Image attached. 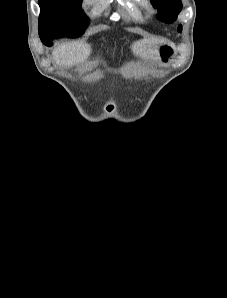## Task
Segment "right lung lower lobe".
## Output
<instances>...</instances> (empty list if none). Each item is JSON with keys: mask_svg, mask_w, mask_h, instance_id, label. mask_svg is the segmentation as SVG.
Here are the masks:
<instances>
[{"mask_svg": "<svg viewBox=\"0 0 227 298\" xmlns=\"http://www.w3.org/2000/svg\"><path fill=\"white\" fill-rule=\"evenodd\" d=\"M40 38L43 44H45L46 46H51L52 40L56 37L48 33V34H45L44 36H41Z\"/></svg>", "mask_w": 227, "mask_h": 298, "instance_id": "98d812e1", "label": "right lung lower lobe"}]
</instances>
